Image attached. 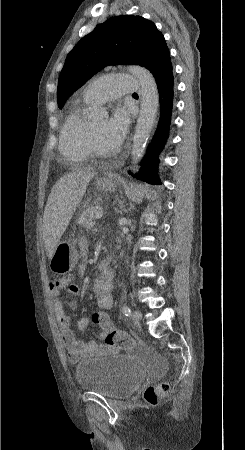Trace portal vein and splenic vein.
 Returning <instances> with one entry per match:
<instances>
[{
	"label": "portal vein and splenic vein",
	"instance_id": "18ae733b",
	"mask_svg": "<svg viewBox=\"0 0 245 450\" xmlns=\"http://www.w3.org/2000/svg\"><path fill=\"white\" fill-rule=\"evenodd\" d=\"M103 215H104V213H103V212H97V214H96V219H100V218H102V217H103Z\"/></svg>",
	"mask_w": 245,
	"mask_h": 450
}]
</instances>
